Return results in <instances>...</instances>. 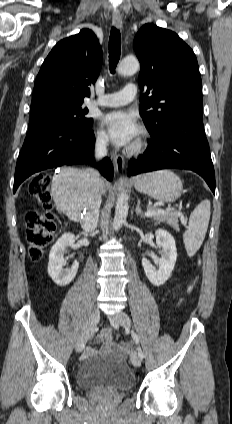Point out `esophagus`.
<instances>
[{"instance_id": "obj_1", "label": "esophagus", "mask_w": 232, "mask_h": 424, "mask_svg": "<svg viewBox=\"0 0 232 424\" xmlns=\"http://www.w3.org/2000/svg\"><path fill=\"white\" fill-rule=\"evenodd\" d=\"M113 25L121 29L122 28V17L119 12H114L112 15ZM114 167L116 172H121L124 169L125 161L124 158L119 154H113Z\"/></svg>"}]
</instances>
